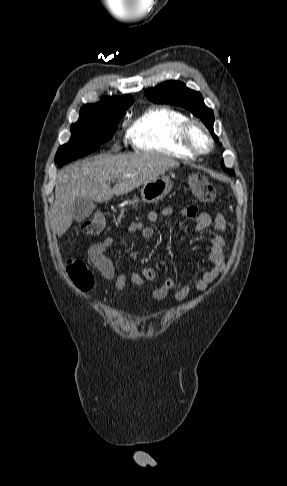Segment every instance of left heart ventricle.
<instances>
[{"label": "left heart ventricle", "mask_w": 287, "mask_h": 486, "mask_svg": "<svg viewBox=\"0 0 287 486\" xmlns=\"http://www.w3.org/2000/svg\"><path fill=\"white\" fill-rule=\"evenodd\" d=\"M192 138H193L194 143L197 146H199L200 148L207 147L208 143H207L206 139L198 130L193 131Z\"/></svg>", "instance_id": "b2bd125f"}]
</instances>
